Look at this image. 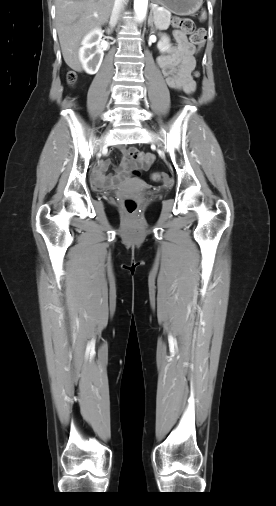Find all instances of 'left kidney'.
<instances>
[{
	"label": "left kidney",
	"instance_id": "left-kidney-1",
	"mask_svg": "<svg viewBox=\"0 0 276 506\" xmlns=\"http://www.w3.org/2000/svg\"><path fill=\"white\" fill-rule=\"evenodd\" d=\"M171 45L169 44V41L165 38H163L159 43H158V48L161 52H166L170 49Z\"/></svg>",
	"mask_w": 276,
	"mask_h": 506
}]
</instances>
